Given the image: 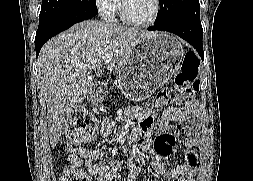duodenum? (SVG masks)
I'll return each mask as SVG.
<instances>
[{
  "mask_svg": "<svg viewBox=\"0 0 253 181\" xmlns=\"http://www.w3.org/2000/svg\"><path fill=\"white\" fill-rule=\"evenodd\" d=\"M106 93V88L103 84H96L89 92L90 100L94 102L102 101Z\"/></svg>",
  "mask_w": 253,
  "mask_h": 181,
  "instance_id": "duodenum-1",
  "label": "duodenum"
}]
</instances>
